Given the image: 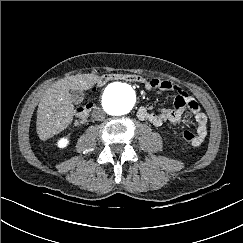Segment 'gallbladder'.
<instances>
[{"instance_id":"1","label":"gallbladder","mask_w":243,"mask_h":243,"mask_svg":"<svg viewBox=\"0 0 243 243\" xmlns=\"http://www.w3.org/2000/svg\"><path fill=\"white\" fill-rule=\"evenodd\" d=\"M70 94H71V101L74 103V104H79L82 102L83 98H84V94L82 91H79V90H75V91H70Z\"/></svg>"}]
</instances>
